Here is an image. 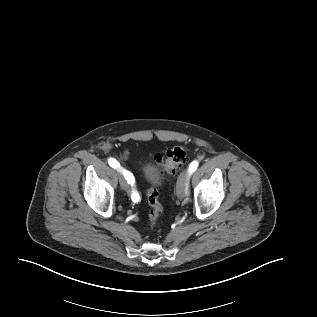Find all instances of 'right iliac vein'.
Returning a JSON list of instances; mask_svg holds the SVG:
<instances>
[{
  "label": "right iliac vein",
  "instance_id": "right-iliac-vein-1",
  "mask_svg": "<svg viewBox=\"0 0 317 317\" xmlns=\"http://www.w3.org/2000/svg\"><path fill=\"white\" fill-rule=\"evenodd\" d=\"M118 177H119V183L122 189H124L126 192H129V185L121 171L120 172L118 171Z\"/></svg>",
  "mask_w": 317,
  "mask_h": 317
}]
</instances>
